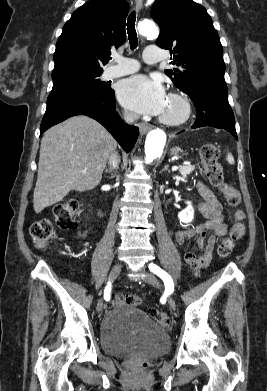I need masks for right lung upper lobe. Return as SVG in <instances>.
I'll use <instances>...</instances> for the list:
<instances>
[{
  "instance_id": "1",
  "label": "right lung upper lobe",
  "mask_w": 267,
  "mask_h": 391,
  "mask_svg": "<svg viewBox=\"0 0 267 391\" xmlns=\"http://www.w3.org/2000/svg\"><path fill=\"white\" fill-rule=\"evenodd\" d=\"M128 12L123 0H91L74 11L56 43L52 77L103 71L111 48L125 41Z\"/></svg>"
}]
</instances>
